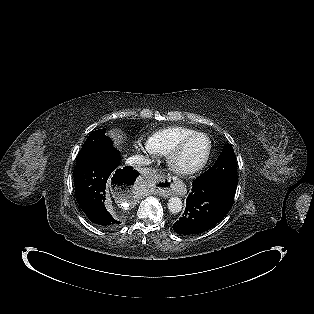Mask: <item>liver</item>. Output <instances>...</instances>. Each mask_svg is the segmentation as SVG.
Wrapping results in <instances>:
<instances>
[{
	"instance_id": "1",
	"label": "liver",
	"mask_w": 314,
	"mask_h": 314,
	"mask_svg": "<svg viewBox=\"0 0 314 314\" xmlns=\"http://www.w3.org/2000/svg\"><path fill=\"white\" fill-rule=\"evenodd\" d=\"M109 134L113 138L115 144L119 145L122 143V136L119 134L117 130H111Z\"/></svg>"
}]
</instances>
